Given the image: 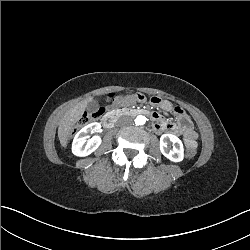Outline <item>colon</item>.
I'll list each match as a JSON object with an SVG mask.
<instances>
[{
  "label": "colon",
  "mask_w": 250,
  "mask_h": 250,
  "mask_svg": "<svg viewBox=\"0 0 250 250\" xmlns=\"http://www.w3.org/2000/svg\"><path fill=\"white\" fill-rule=\"evenodd\" d=\"M114 94H110L107 96V99H113ZM119 97L114 98L115 100ZM134 99L139 102H145L147 97L144 93L138 92L134 95ZM150 102L152 105H159L162 103L161 95H150ZM106 112V107L100 104H93L88 112H86L79 121V126H84L90 124L92 122H96L104 113ZM183 125H186L187 120L185 117L181 118ZM187 151L185 153V157H193L196 153L197 143L195 140L191 138L186 139Z\"/></svg>",
  "instance_id": "1"
}]
</instances>
